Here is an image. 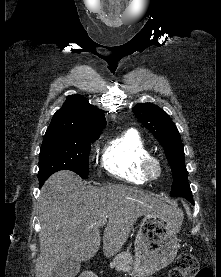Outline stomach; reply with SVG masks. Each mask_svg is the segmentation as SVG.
I'll list each match as a JSON object with an SVG mask.
<instances>
[{
	"label": "stomach",
	"instance_id": "stomach-1",
	"mask_svg": "<svg viewBox=\"0 0 221 277\" xmlns=\"http://www.w3.org/2000/svg\"><path fill=\"white\" fill-rule=\"evenodd\" d=\"M182 219V212L172 207L167 214L144 215L135 240V257L130 275L145 277L154 274L174 260L179 247L177 233Z\"/></svg>",
	"mask_w": 221,
	"mask_h": 277
}]
</instances>
